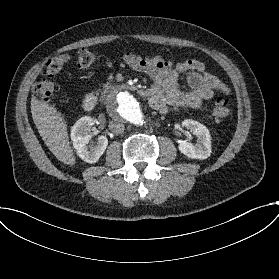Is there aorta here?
<instances>
[{
    "label": "aorta",
    "instance_id": "obj_1",
    "mask_svg": "<svg viewBox=\"0 0 279 279\" xmlns=\"http://www.w3.org/2000/svg\"><path fill=\"white\" fill-rule=\"evenodd\" d=\"M110 115L119 121L135 125L143 123V114L138 100L129 92H118L109 100Z\"/></svg>",
    "mask_w": 279,
    "mask_h": 279
}]
</instances>
